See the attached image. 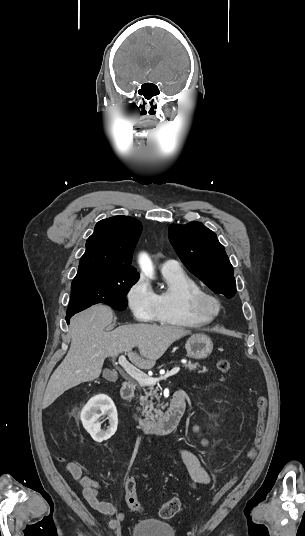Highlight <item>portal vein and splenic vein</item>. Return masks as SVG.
Wrapping results in <instances>:
<instances>
[{
    "label": "portal vein and splenic vein",
    "instance_id": "18ae733b",
    "mask_svg": "<svg viewBox=\"0 0 305 536\" xmlns=\"http://www.w3.org/2000/svg\"><path fill=\"white\" fill-rule=\"evenodd\" d=\"M120 366L124 368L125 372L131 376V378H134V380H137L139 382L140 386H151V384H156V382H160V380H166V378H170V376H174V374H178L180 372V368H173V370H170V372H160V374H163V376H160V378H150V376H146L144 372H140V370H137L135 366H132V364H129L127 362L125 356H120L118 360Z\"/></svg>",
    "mask_w": 305,
    "mask_h": 536
}]
</instances>
